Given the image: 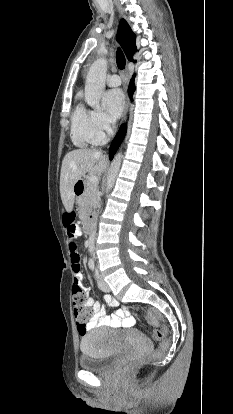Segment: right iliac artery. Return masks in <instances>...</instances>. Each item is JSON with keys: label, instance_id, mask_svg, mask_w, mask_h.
Returning a JSON list of instances; mask_svg holds the SVG:
<instances>
[{"label": "right iliac artery", "instance_id": "1", "mask_svg": "<svg viewBox=\"0 0 233 414\" xmlns=\"http://www.w3.org/2000/svg\"><path fill=\"white\" fill-rule=\"evenodd\" d=\"M88 265H89V268H90L91 270H94L95 265H94V262H93V261H90Z\"/></svg>", "mask_w": 233, "mask_h": 414}]
</instances>
